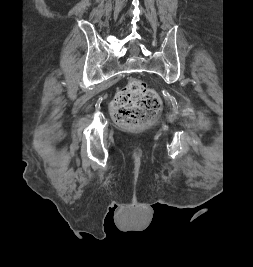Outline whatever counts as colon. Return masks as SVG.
I'll use <instances>...</instances> for the list:
<instances>
[{
  "label": "colon",
  "mask_w": 253,
  "mask_h": 267,
  "mask_svg": "<svg viewBox=\"0 0 253 267\" xmlns=\"http://www.w3.org/2000/svg\"><path fill=\"white\" fill-rule=\"evenodd\" d=\"M161 110L158 94L139 79H132L118 91L111 112L119 125L136 128L155 118Z\"/></svg>",
  "instance_id": "5ec220e1"
}]
</instances>
